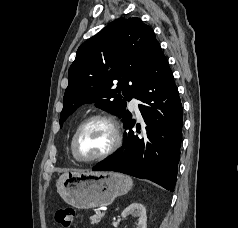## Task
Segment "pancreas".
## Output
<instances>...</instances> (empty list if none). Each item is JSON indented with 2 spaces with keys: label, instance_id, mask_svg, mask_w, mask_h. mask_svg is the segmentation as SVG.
I'll return each instance as SVG.
<instances>
[{
  "label": "pancreas",
  "instance_id": "pancreas-1",
  "mask_svg": "<svg viewBox=\"0 0 238 228\" xmlns=\"http://www.w3.org/2000/svg\"><path fill=\"white\" fill-rule=\"evenodd\" d=\"M102 215H92L91 217H90V222H91V224H98L100 221H101V219H102Z\"/></svg>",
  "mask_w": 238,
  "mask_h": 228
}]
</instances>
